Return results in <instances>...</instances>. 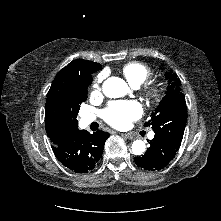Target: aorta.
<instances>
[{
    "mask_svg": "<svg viewBox=\"0 0 221 221\" xmlns=\"http://www.w3.org/2000/svg\"><path fill=\"white\" fill-rule=\"evenodd\" d=\"M103 93L109 98H120L128 92V85L126 82L118 77H110L103 83ZM146 145L142 140H135L132 144V153L134 155H141L145 152Z\"/></svg>",
    "mask_w": 221,
    "mask_h": 221,
    "instance_id": "obj_1",
    "label": "aorta"
}]
</instances>
